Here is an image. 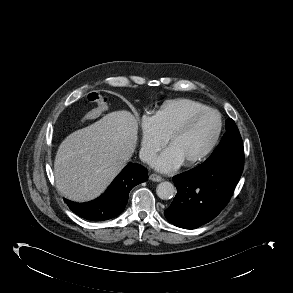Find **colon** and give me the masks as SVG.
I'll return each instance as SVG.
<instances>
[{
  "instance_id": "5ec220e1",
  "label": "colon",
  "mask_w": 293,
  "mask_h": 293,
  "mask_svg": "<svg viewBox=\"0 0 293 293\" xmlns=\"http://www.w3.org/2000/svg\"><path fill=\"white\" fill-rule=\"evenodd\" d=\"M87 99L91 104H93V108L84 115L85 121L93 120L99 117L108 109V99L100 92H90L87 95Z\"/></svg>"
}]
</instances>
